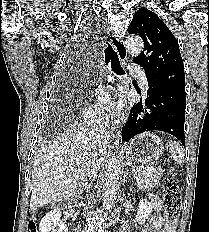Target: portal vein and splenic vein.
<instances>
[{"mask_svg":"<svg viewBox=\"0 0 209 232\" xmlns=\"http://www.w3.org/2000/svg\"><path fill=\"white\" fill-rule=\"evenodd\" d=\"M141 169H144L145 167L140 166ZM148 169H153V167H147ZM133 172H135V168L132 170Z\"/></svg>","mask_w":209,"mask_h":232,"instance_id":"portal-vein-and-splenic-vein-1","label":"portal vein and splenic vein"}]
</instances>
